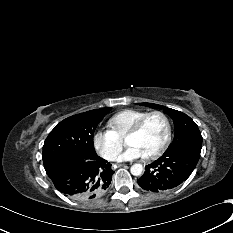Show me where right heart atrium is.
Wrapping results in <instances>:
<instances>
[{"mask_svg": "<svg viewBox=\"0 0 233 233\" xmlns=\"http://www.w3.org/2000/svg\"><path fill=\"white\" fill-rule=\"evenodd\" d=\"M93 145L103 158L115 160L122 150L123 142L111 130H106L93 135Z\"/></svg>", "mask_w": 233, "mask_h": 233, "instance_id": "d8ad5b80", "label": "right heart atrium"}]
</instances>
